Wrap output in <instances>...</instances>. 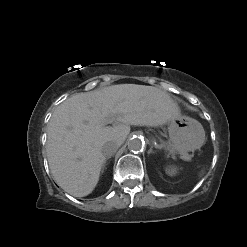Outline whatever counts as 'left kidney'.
<instances>
[{
  "mask_svg": "<svg viewBox=\"0 0 247 247\" xmlns=\"http://www.w3.org/2000/svg\"><path fill=\"white\" fill-rule=\"evenodd\" d=\"M165 171H166V174L170 176H174L177 174L178 169L175 166H168L166 167Z\"/></svg>",
  "mask_w": 247,
  "mask_h": 247,
  "instance_id": "left-kidney-1",
  "label": "left kidney"
}]
</instances>
